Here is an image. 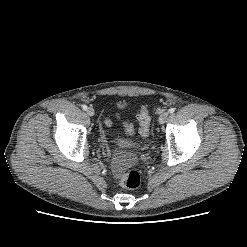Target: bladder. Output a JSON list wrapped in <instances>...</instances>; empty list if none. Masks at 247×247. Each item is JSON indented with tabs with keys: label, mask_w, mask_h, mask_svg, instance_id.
Listing matches in <instances>:
<instances>
[{
	"label": "bladder",
	"mask_w": 247,
	"mask_h": 247,
	"mask_svg": "<svg viewBox=\"0 0 247 247\" xmlns=\"http://www.w3.org/2000/svg\"><path fill=\"white\" fill-rule=\"evenodd\" d=\"M120 144L126 148H136L137 144L132 140L121 139Z\"/></svg>",
	"instance_id": "bladder-1"
}]
</instances>
